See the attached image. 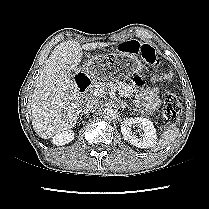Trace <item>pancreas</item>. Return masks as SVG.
Masks as SVG:
<instances>
[{"mask_svg":"<svg viewBox=\"0 0 209 209\" xmlns=\"http://www.w3.org/2000/svg\"><path fill=\"white\" fill-rule=\"evenodd\" d=\"M96 86L99 88H103L105 90L114 88V89H122L126 96H131L134 92L133 88L125 82L121 81H105V82H98Z\"/></svg>","mask_w":209,"mask_h":209,"instance_id":"1","label":"pancreas"}]
</instances>
